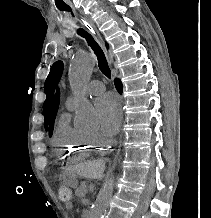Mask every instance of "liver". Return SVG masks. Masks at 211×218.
Wrapping results in <instances>:
<instances>
[{"label": "liver", "mask_w": 211, "mask_h": 218, "mask_svg": "<svg viewBox=\"0 0 211 218\" xmlns=\"http://www.w3.org/2000/svg\"><path fill=\"white\" fill-rule=\"evenodd\" d=\"M104 162L101 160H94V162H88V164H84L80 170L81 176L84 178H92V180H102L104 178Z\"/></svg>", "instance_id": "6515ba94"}]
</instances>
